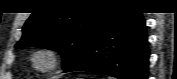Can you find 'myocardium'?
I'll list each match as a JSON object with an SVG mask.
<instances>
[{
	"label": "myocardium",
	"mask_w": 177,
	"mask_h": 79,
	"mask_svg": "<svg viewBox=\"0 0 177 79\" xmlns=\"http://www.w3.org/2000/svg\"><path fill=\"white\" fill-rule=\"evenodd\" d=\"M45 56L48 58V62L44 65H38L37 58ZM60 54L59 51L53 46L42 45L37 47L30 56V64L32 67L40 72H49L55 69L59 63Z\"/></svg>",
	"instance_id": "myocardium-1"
}]
</instances>
